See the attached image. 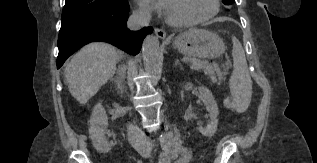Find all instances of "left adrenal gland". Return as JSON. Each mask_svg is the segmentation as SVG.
<instances>
[{"instance_id": "1", "label": "left adrenal gland", "mask_w": 317, "mask_h": 163, "mask_svg": "<svg viewBox=\"0 0 317 163\" xmlns=\"http://www.w3.org/2000/svg\"><path fill=\"white\" fill-rule=\"evenodd\" d=\"M180 63H179V60L177 59L176 61H175V65H179Z\"/></svg>"}]
</instances>
